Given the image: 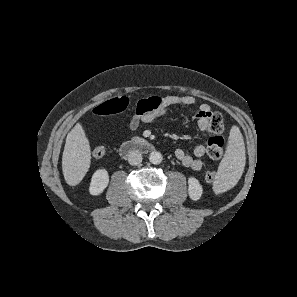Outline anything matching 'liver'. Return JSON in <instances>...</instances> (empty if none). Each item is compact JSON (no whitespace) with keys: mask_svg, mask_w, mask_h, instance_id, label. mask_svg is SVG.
I'll return each mask as SVG.
<instances>
[{"mask_svg":"<svg viewBox=\"0 0 297 297\" xmlns=\"http://www.w3.org/2000/svg\"><path fill=\"white\" fill-rule=\"evenodd\" d=\"M91 162L89 141L81 124L77 123L66 137L62 155V170L66 183L78 185L87 173Z\"/></svg>","mask_w":297,"mask_h":297,"instance_id":"1","label":"liver"}]
</instances>
